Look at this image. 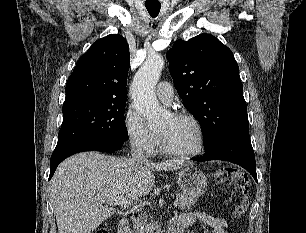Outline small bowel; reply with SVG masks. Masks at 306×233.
Here are the masks:
<instances>
[{"instance_id": "1", "label": "small bowel", "mask_w": 306, "mask_h": 233, "mask_svg": "<svg viewBox=\"0 0 306 233\" xmlns=\"http://www.w3.org/2000/svg\"><path fill=\"white\" fill-rule=\"evenodd\" d=\"M198 223L210 227L211 233H228V224L225 219L200 211L181 214L175 217L170 225H179L183 228L192 227Z\"/></svg>"}]
</instances>
